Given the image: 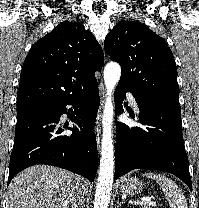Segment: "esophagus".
I'll return each mask as SVG.
<instances>
[{
    "mask_svg": "<svg viewBox=\"0 0 199 208\" xmlns=\"http://www.w3.org/2000/svg\"><path fill=\"white\" fill-rule=\"evenodd\" d=\"M99 89H100V95H101V99H102V103H103V100H104V97H105V91H104V87H103L102 83H100ZM102 103H101V106L99 108V111H98V114H97V119H96V124H95V137H96V143H97L98 149L100 147L101 131H102V126H101Z\"/></svg>",
    "mask_w": 199,
    "mask_h": 208,
    "instance_id": "1",
    "label": "esophagus"
}]
</instances>
